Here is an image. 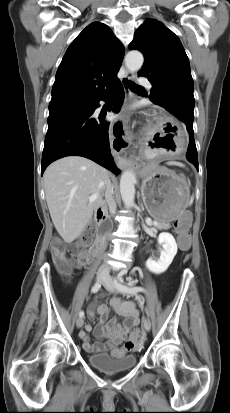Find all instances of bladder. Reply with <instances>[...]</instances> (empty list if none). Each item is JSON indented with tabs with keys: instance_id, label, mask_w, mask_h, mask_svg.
I'll list each match as a JSON object with an SVG mask.
<instances>
[{
	"instance_id": "1",
	"label": "bladder",
	"mask_w": 230,
	"mask_h": 413,
	"mask_svg": "<svg viewBox=\"0 0 230 413\" xmlns=\"http://www.w3.org/2000/svg\"><path fill=\"white\" fill-rule=\"evenodd\" d=\"M88 362L102 372L118 373L134 368L137 364V358L132 354L114 357L106 353H99L89 355Z\"/></svg>"
}]
</instances>
